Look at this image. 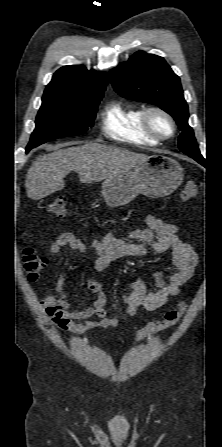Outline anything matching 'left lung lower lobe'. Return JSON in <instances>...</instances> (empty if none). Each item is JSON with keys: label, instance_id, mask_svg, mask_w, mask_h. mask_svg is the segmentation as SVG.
<instances>
[{"label": "left lung lower lobe", "instance_id": "0a47b994", "mask_svg": "<svg viewBox=\"0 0 222 447\" xmlns=\"http://www.w3.org/2000/svg\"><path fill=\"white\" fill-rule=\"evenodd\" d=\"M192 158H194L197 162H199L202 165H204V163H205L204 158H199V157H192Z\"/></svg>", "mask_w": 222, "mask_h": 447}]
</instances>
